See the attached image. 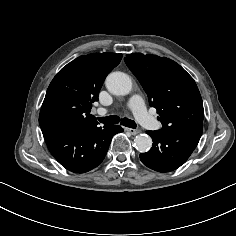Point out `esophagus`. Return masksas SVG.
Wrapping results in <instances>:
<instances>
[{
    "mask_svg": "<svg viewBox=\"0 0 236 236\" xmlns=\"http://www.w3.org/2000/svg\"><path fill=\"white\" fill-rule=\"evenodd\" d=\"M124 130L130 133L131 135H137L138 133H140V131L137 129L127 128V127H125Z\"/></svg>",
    "mask_w": 236,
    "mask_h": 236,
    "instance_id": "1",
    "label": "esophagus"
}]
</instances>
